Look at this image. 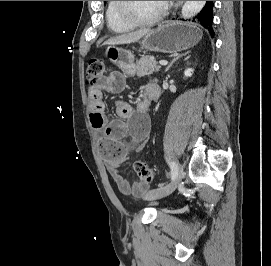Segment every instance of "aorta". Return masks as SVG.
<instances>
[{
  "instance_id": "aorta-1",
  "label": "aorta",
  "mask_w": 271,
  "mask_h": 266,
  "mask_svg": "<svg viewBox=\"0 0 271 266\" xmlns=\"http://www.w3.org/2000/svg\"><path fill=\"white\" fill-rule=\"evenodd\" d=\"M206 1H186L182 7L181 15L183 18H192L197 15L204 7Z\"/></svg>"
}]
</instances>
